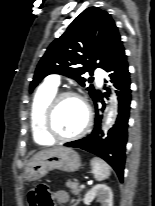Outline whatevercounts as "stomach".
<instances>
[{"label":"stomach","instance_id":"stomach-1","mask_svg":"<svg viewBox=\"0 0 155 206\" xmlns=\"http://www.w3.org/2000/svg\"><path fill=\"white\" fill-rule=\"evenodd\" d=\"M81 165L80 156L71 148L57 147L44 150L31 159L25 170V179L36 181L54 169L75 172L80 169Z\"/></svg>","mask_w":155,"mask_h":206}]
</instances>
